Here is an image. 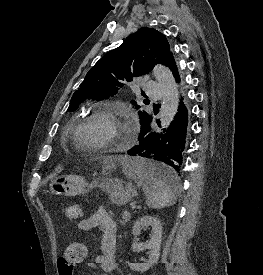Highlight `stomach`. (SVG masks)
Here are the masks:
<instances>
[{
  "mask_svg": "<svg viewBox=\"0 0 263 275\" xmlns=\"http://www.w3.org/2000/svg\"><path fill=\"white\" fill-rule=\"evenodd\" d=\"M109 166H106L108 170ZM86 180L77 175L56 176L50 179L49 191L54 195L75 196L85 191ZM103 188L110 194L113 203L122 205L131 201L137 195V191L131 184L123 185V181L117 178H107Z\"/></svg>",
  "mask_w": 263,
  "mask_h": 275,
  "instance_id": "obj_1",
  "label": "stomach"
}]
</instances>
